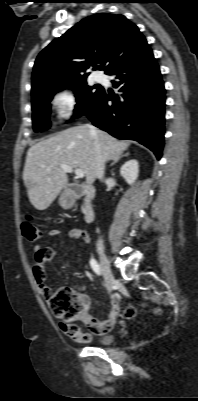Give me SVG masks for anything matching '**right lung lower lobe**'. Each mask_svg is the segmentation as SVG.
Instances as JSON below:
<instances>
[{"label": "right lung lower lobe", "instance_id": "98d812e1", "mask_svg": "<svg viewBox=\"0 0 198 401\" xmlns=\"http://www.w3.org/2000/svg\"><path fill=\"white\" fill-rule=\"evenodd\" d=\"M108 75L120 95L103 89L85 114L98 128L119 139H131L162 156L165 90L159 67L148 44ZM110 101V103H108Z\"/></svg>", "mask_w": 198, "mask_h": 401}]
</instances>
